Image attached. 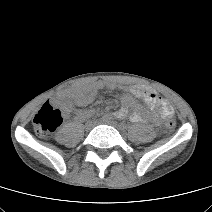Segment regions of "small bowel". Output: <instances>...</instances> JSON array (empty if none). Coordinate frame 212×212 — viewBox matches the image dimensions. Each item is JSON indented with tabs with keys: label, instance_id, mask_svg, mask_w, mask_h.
<instances>
[{
	"label": "small bowel",
	"instance_id": "1",
	"mask_svg": "<svg viewBox=\"0 0 212 212\" xmlns=\"http://www.w3.org/2000/svg\"><path fill=\"white\" fill-rule=\"evenodd\" d=\"M117 88L118 86L115 82L99 80L93 83L81 84L70 89L62 95L59 100L63 116L68 118L72 114H75L78 120L84 119L91 111L78 108L89 105L94 100L99 90H115ZM120 89H122L124 93L121 96V107L114 112L116 118H125L129 110L133 109L134 112L130 115L131 121H152L159 125L164 118L174 115V110L169 102L154 91L134 86H121ZM136 99L143 100L150 108H159V114H150L143 111L136 103Z\"/></svg>",
	"mask_w": 212,
	"mask_h": 212
}]
</instances>
